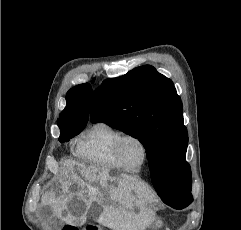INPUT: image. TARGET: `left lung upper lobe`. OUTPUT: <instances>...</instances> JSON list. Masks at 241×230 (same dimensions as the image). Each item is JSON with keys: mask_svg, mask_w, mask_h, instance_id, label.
<instances>
[{"mask_svg": "<svg viewBox=\"0 0 241 230\" xmlns=\"http://www.w3.org/2000/svg\"><path fill=\"white\" fill-rule=\"evenodd\" d=\"M182 110L173 82L150 65L105 80L92 100V123L104 122L143 144L150 172L159 167L162 181L156 190L166 204H189L193 200Z\"/></svg>", "mask_w": 241, "mask_h": 230, "instance_id": "5c2ea615", "label": "left lung upper lobe"}]
</instances>
